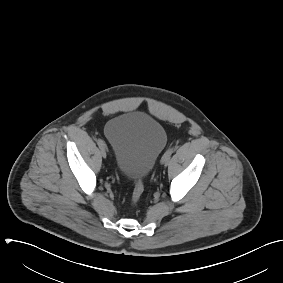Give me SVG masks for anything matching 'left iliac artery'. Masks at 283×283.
Returning <instances> with one entry per match:
<instances>
[{
    "label": "left iliac artery",
    "mask_w": 283,
    "mask_h": 283,
    "mask_svg": "<svg viewBox=\"0 0 283 283\" xmlns=\"http://www.w3.org/2000/svg\"><path fill=\"white\" fill-rule=\"evenodd\" d=\"M174 150H175L174 147L168 149V150L164 153V155H163L161 161H167V162H169V161H170V158H171V155H172V153L174 152Z\"/></svg>",
    "instance_id": "obj_1"
}]
</instances>
